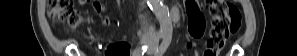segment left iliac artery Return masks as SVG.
Returning <instances> with one entry per match:
<instances>
[{
    "mask_svg": "<svg viewBox=\"0 0 297 56\" xmlns=\"http://www.w3.org/2000/svg\"><path fill=\"white\" fill-rule=\"evenodd\" d=\"M170 42H171V35L168 34L164 37L163 42L161 43L159 49L156 52V56H162L166 51L167 47L169 46Z\"/></svg>",
    "mask_w": 297,
    "mask_h": 56,
    "instance_id": "1",
    "label": "left iliac artery"
}]
</instances>
